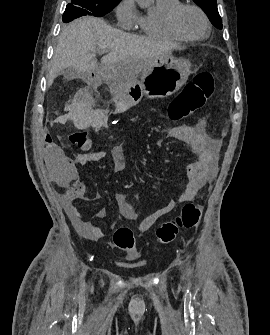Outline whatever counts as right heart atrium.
<instances>
[{"label":"right heart atrium","instance_id":"right-heart-atrium-1","mask_svg":"<svg viewBox=\"0 0 270 335\" xmlns=\"http://www.w3.org/2000/svg\"><path fill=\"white\" fill-rule=\"evenodd\" d=\"M119 25L130 29L136 25L139 13L136 10V0H121L116 9Z\"/></svg>","mask_w":270,"mask_h":335}]
</instances>
